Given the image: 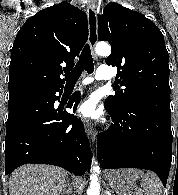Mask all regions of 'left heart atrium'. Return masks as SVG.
I'll return each instance as SVG.
<instances>
[{"label": "left heart atrium", "mask_w": 178, "mask_h": 195, "mask_svg": "<svg viewBox=\"0 0 178 195\" xmlns=\"http://www.w3.org/2000/svg\"><path fill=\"white\" fill-rule=\"evenodd\" d=\"M78 113L86 119H97L100 116V110L92 97L87 98L79 105Z\"/></svg>", "instance_id": "left-heart-atrium-1"}]
</instances>
